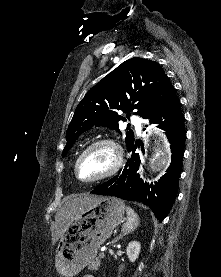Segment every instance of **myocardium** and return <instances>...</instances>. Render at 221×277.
<instances>
[{"label": "myocardium", "instance_id": "myocardium-1", "mask_svg": "<svg viewBox=\"0 0 221 277\" xmlns=\"http://www.w3.org/2000/svg\"><path fill=\"white\" fill-rule=\"evenodd\" d=\"M99 146H107L112 150V152L114 154V161H113L112 166L105 173H103L100 176L95 177L93 179L81 178L79 175V165H80L81 160L88 152H90L92 149L99 147ZM122 163H123V149H122L121 145L118 142H116L114 139L101 138V139H98V140L92 142L91 144H89L79 154V156L77 157V159L75 161L74 173H75L76 178L83 183H96V182L102 181V180L107 179V178L113 176L114 174H116L118 172V170L121 168Z\"/></svg>", "mask_w": 221, "mask_h": 277}]
</instances>
